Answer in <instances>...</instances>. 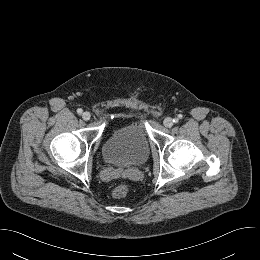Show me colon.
Masks as SVG:
<instances>
[{
	"mask_svg": "<svg viewBox=\"0 0 260 260\" xmlns=\"http://www.w3.org/2000/svg\"><path fill=\"white\" fill-rule=\"evenodd\" d=\"M129 193V187L127 184H120L112 192V196L115 199H122Z\"/></svg>",
	"mask_w": 260,
	"mask_h": 260,
	"instance_id": "1",
	"label": "colon"
}]
</instances>
